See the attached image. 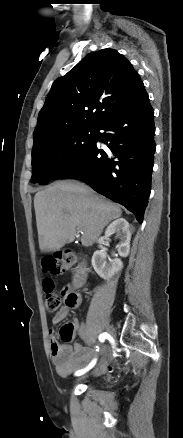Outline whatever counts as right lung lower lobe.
Here are the masks:
<instances>
[{
  "label": "right lung lower lobe",
  "instance_id": "98d812e1",
  "mask_svg": "<svg viewBox=\"0 0 183 438\" xmlns=\"http://www.w3.org/2000/svg\"><path fill=\"white\" fill-rule=\"evenodd\" d=\"M154 110L148 94L104 120L95 140L56 176L73 177L125 206L142 223L151 191ZM103 130V132H99ZM103 142L107 148L97 146Z\"/></svg>",
  "mask_w": 183,
  "mask_h": 438
}]
</instances>
